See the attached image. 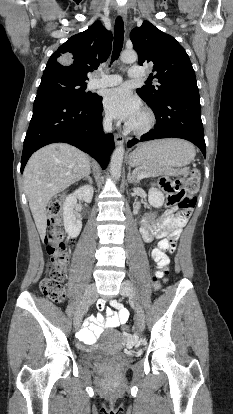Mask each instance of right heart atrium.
I'll use <instances>...</instances> for the list:
<instances>
[{
    "mask_svg": "<svg viewBox=\"0 0 233 414\" xmlns=\"http://www.w3.org/2000/svg\"><path fill=\"white\" fill-rule=\"evenodd\" d=\"M102 123H103V126L105 128H109L110 127V119L107 116H104L103 117Z\"/></svg>",
    "mask_w": 233,
    "mask_h": 414,
    "instance_id": "obj_1",
    "label": "right heart atrium"
}]
</instances>
